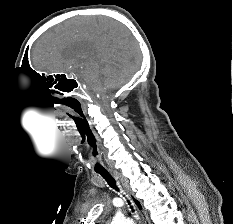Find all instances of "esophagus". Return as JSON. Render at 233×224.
<instances>
[{
  "label": "esophagus",
  "instance_id": "obj_1",
  "mask_svg": "<svg viewBox=\"0 0 233 224\" xmlns=\"http://www.w3.org/2000/svg\"><path fill=\"white\" fill-rule=\"evenodd\" d=\"M113 177L118 180L124 191L127 193V195L130 197L132 203L134 204V206L136 207V209L138 210V212L140 213L142 220H143V224H151L149 216L147 211L145 210L143 203L141 202V200L139 198H137L134 193L130 190L128 183L125 181V179L122 177V175L117 172V171H113L112 172Z\"/></svg>",
  "mask_w": 233,
  "mask_h": 224
}]
</instances>
